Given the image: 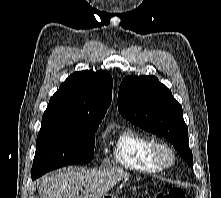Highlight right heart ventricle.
<instances>
[{
	"mask_svg": "<svg viewBox=\"0 0 221 198\" xmlns=\"http://www.w3.org/2000/svg\"><path fill=\"white\" fill-rule=\"evenodd\" d=\"M153 139L132 128L121 130L112 143L114 161L123 168L141 171L158 172V166L150 156V145Z\"/></svg>",
	"mask_w": 221,
	"mask_h": 198,
	"instance_id": "right-heart-ventricle-1",
	"label": "right heart ventricle"
}]
</instances>
